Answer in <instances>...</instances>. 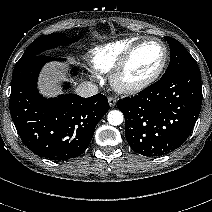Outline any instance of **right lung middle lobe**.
<instances>
[{
    "mask_svg": "<svg viewBox=\"0 0 212 212\" xmlns=\"http://www.w3.org/2000/svg\"><path fill=\"white\" fill-rule=\"evenodd\" d=\"M78 40L77 37H74L72 39H68L64 33H57V34H49L44 37H39L35 39L27 48L23 56L20 58V60L16 63H21L27 59H30L34 56L40 55L41 52L51 49L55 46L59 45H66L67 43L76 42Z\"/></svg>",
    "mask_w": 212,
    "mask_h": 212,
    "instance_id": "obj_1",
    "label": "right lung middle lobe"
}]
</instances>
